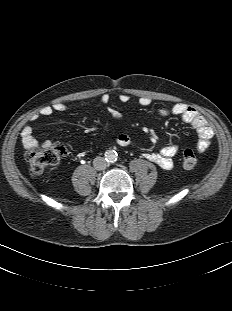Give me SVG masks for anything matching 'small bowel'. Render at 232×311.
<instances>
[{
  "label": "small bowel",
  "instance_id": "c3829d8e",
  "mask_svg": "<svg viewBox=\"0 0 232 311\" xmlns=\"http://www.w3.org/2000/svg\"><path fill=\"white\" fill-rule=\"evenodd\" d=\"M130 97L127 94H121L119 101L121 103L128 102ZM110 100L108 94H103L100 101L107 104ZM151 100L148 97L139 99V104L148 106ZM68 106L61 101H55L50 105L43 106L39 112L32 116V120L36 121L40 117H50L54 113H61L67 111ZM111 116L115 120H120L121 116L116 110L111 109ZM173 115L180 117L185 123L189 124L198 135V142L196 148L199 152H204L210 145L214 132L208 121L194 108L184 104H175L170 108H163L159 110L160 116ZM22 143L26 149H33L37 147H47L52 144L51 140H39L34 136L33 127L29 124L25 125L21 130ZM117 143L122 147L132 146L131 138L126 134L117 136ZM178 147L175 144H168L157 153H146L144 156L147 160L157 164L159 167L169 170L174 166L173 157L176 155Z\"/></svg>",
  "mask_w": 232,
  "mask_h": 311
}]
</instances>
